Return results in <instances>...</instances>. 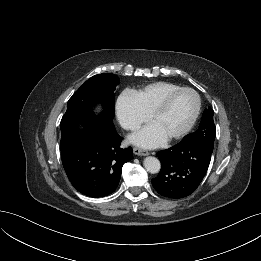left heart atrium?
<instances>
[{"label":"left heart atrium","instance_id":"39dd6f15","mask_svg":"<svg viewBox=\"0 0 261 261\" xmlns=\"http://www.w3.org/2000/svg\"><path fill=\"white\" fill-rule=\"evenodd\" d=\"M167 137L153 123L147 125L130 137V141L143 148H155L162 145Z\"/></svg>","mask_w":261,"mask_h":261}]
</instances>
